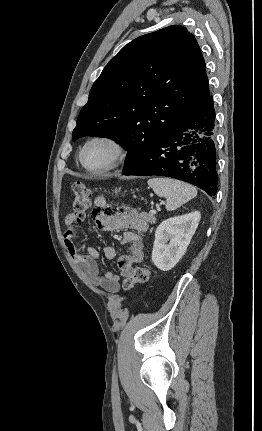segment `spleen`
<instances>
[{
	"label": "spleen",
	"instance_id": "obj_1",
	"mask_svg": "<svg viewBox=\"0 0 262 431\" xmlns=\"http://www.w3.org/2000/svg\"><path fill=\"white\" fill-rule=\"evenodd\" d=\"M147 183L155 194L166 198L167 211L179 208L197 195V190L190 184L171 178L154 177Z\"/></svg>",
	"mask_w": 262,
	"mask_h": 431
}]
</instances>
